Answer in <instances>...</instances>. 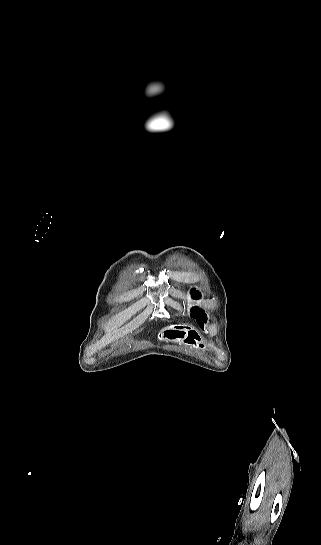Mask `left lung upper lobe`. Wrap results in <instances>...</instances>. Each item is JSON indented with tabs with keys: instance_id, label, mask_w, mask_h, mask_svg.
<instances>
[{
	"instance_id": "obj_1",
	"label": "left lung upper lobe",
	"mask_w": 321,
	"mask_h": 545,
	"mask_svg": "<svg viewBox=\"0 0 321 545\" xmlns=\"http://www.w3.org/2000/svg\"><path fill=\"white\" fill-rule=\"evenodd\" d=\"M191 296L194 299H198V298L201 297V294L198 291H196L195 289H192L191 290ZM191 311H192L191 316H193L197 320L198 324L201 327H203V323H205L207 321V317L204 314V311L197 308V307L192 308Z\"/></svg>"
}]
</instances>
